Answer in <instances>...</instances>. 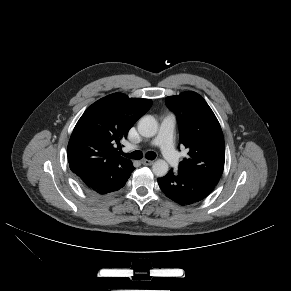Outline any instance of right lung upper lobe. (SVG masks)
I'll use <instances>...</instances> for the list:
<instances>
[{
	"label": "right lung upper lobe",
	"mask_w": 291,
	"mask_h": 291,
	"mask_svg": "<svg viewBox=\"0 0 291 291\" xmlns=\"http://www.w3.org/2000/svg\"><path fill=\"white\" fill-rule=\"evenodd\" d=\"M152 105L149 99H134L122 93L108 95L89 106L70 137L67 155L71 171L81 178L87 173L132 162L118 156L117 146L129 129Z\"/></svg>",
	"instance_id": "obj_1"
}]
</instances>
